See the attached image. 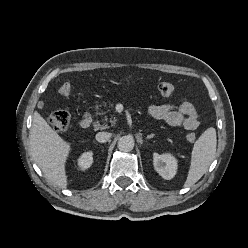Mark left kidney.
I'll list each match as a JSON object with an SVG mask.
<instances>
[{"mask_svg":"<svg viewBox=\"0 0 248 248\" xmlns=\"http://www.w3.org/2000/svg\"><path fill=\"white\" fill-rule=\"evenodd\" d=\"M153 166L160 176L168 180L176 175L178 164L176 158L170 153H154Z\"/></svg>","mask_w":248,"mask_h":248,"instance_id":"obj_1","label":"left kidney"}]
</instances>
